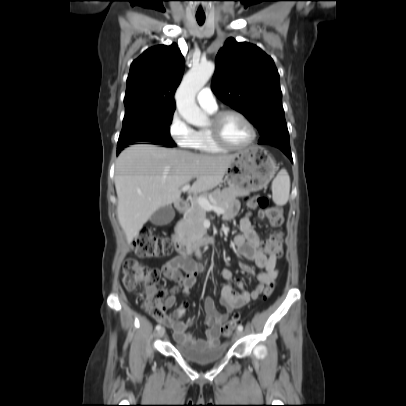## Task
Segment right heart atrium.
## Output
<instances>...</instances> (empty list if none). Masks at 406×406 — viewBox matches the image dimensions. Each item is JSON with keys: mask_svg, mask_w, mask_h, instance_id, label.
<instances>
[{"mask_svg": "<svg viewBox=\"0 0 406 406\" xmlns=\"http://www.w3.org/2000/svg\"><path fill=\"white\" fill-rule=\"evenodd\" d=\"M169 133L179 146L190 147L195 138L196 130L176 110L173 112L169 122Z\"/></svg>", "mask_w": 406, "mask_h": 406, "instance_id": "1", "label": "right heart atrium"}]
</instances>
